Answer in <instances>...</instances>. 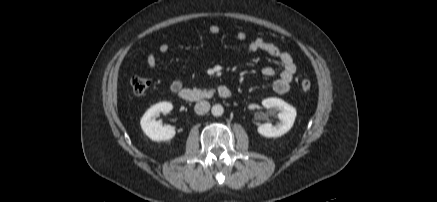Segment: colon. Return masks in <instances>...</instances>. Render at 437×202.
<instances>
[{
  "label": "colon",
  "instance_id": "5ec220e1",
  "mask_svg": "<svg viewBox=\"0 0 437 202\" xmlns=\"http://www.w3.org/2000/svg\"><path fill=\"white\" fill-rule=\"evenodd\" d=\"M131 88L134 94L142 95L145 94L151 87L150 79L146 77H133L131 79ZM312 87V82L308 78H304L300 81V88L303 91H309Z\"/></svg>",
  "mask_w": 437,
  "mask_h": 202
}]
</instances>
